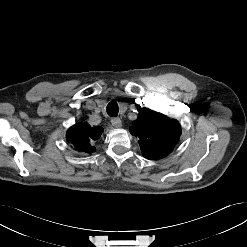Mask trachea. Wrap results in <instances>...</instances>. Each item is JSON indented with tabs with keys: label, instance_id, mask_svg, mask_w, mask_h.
<instances>
[{
	"label": "trachea",
	"instance_id": "3493384b",
	"mask_svg": "<svg viewBox=\"0 0 247 247\" xmlns=\"http://www.w3.org/2000/svg\"><path fill=\"white\" fill-rule=\"evenodd\" d=\"M107 114L111 117H116L118 115V104L115 101H111L108 105H107Z\"/></svg>",
	"mask_w": 247,
	"mask_h": 247
}]
</instances>
